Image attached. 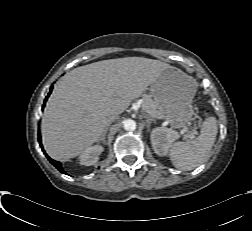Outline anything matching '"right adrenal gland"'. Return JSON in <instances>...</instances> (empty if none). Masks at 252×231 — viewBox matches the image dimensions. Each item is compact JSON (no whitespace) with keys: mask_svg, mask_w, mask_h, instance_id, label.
<instances>
[{"mask_svg":"<svg viewBox=\"0 0 252 231\" xmlns=\"http://www.w3.org/2000/svg\"><path fill=\"white\" fill-rule=\"evenodd\" d=\"M107 131H108V128H105L104 133L100 139V141H102L103 143L105 142V136H106Z\"/></svg>","mask_w":252,"mask_h":231,"instance_id":"right-adrenal-gland-1","label":"right adrenal gland"}]
</instances>
